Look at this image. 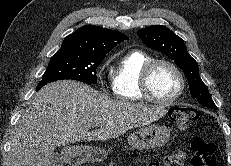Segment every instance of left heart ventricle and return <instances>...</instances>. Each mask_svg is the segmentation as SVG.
Segmentation results:
<instances>
[{"label": "left heart ventricle", "mask_w": 231, "mask_h": 166, "mask_svg": "<svg viewBox=\"0 0 231 166\" xmlns=\"http://www.w3.org/2000/svg\"><path fill=\"white\" fill-rule=\"evenodd\" d=\"M150 89L153 95L160 99L173 96L179 87L176 73L167 65H157L150 76Z\"/></svg>", "instance_id": "b2bd125f"}]
</instances>
